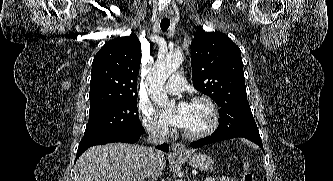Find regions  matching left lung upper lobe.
<instances>
[{"label": "left lung upper lobe", "instance_id": "1", "mask_svg": "<svg viewBox=\"0 0 333 181\" xmlns=\"http://www.w3.org/2000/svg\"><path fill=\"white\" fill-rule=\"evenodd\" d=\"M194 87L220 107V119H231L234 134L260 138L247 101L239 47L225 34L198 28L191 43Z\"/></svg>", "mask_w": 333, "mask_h": 181}]
</instances>
